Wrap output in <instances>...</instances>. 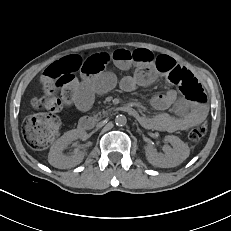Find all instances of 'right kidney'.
I'll list each match as a JSON object with an SVG mask.
<instances>
[{
	"instance_id": "1",
	"label": "right kidney",
	"mask_w": 231,
	"mask_h": 231,
	"mask_svg": "<svg viewBox=\"0 0 231 231\" xmlns=\"http://www.w3.org/2000/svg\"><path fill=\"white\" fill-rule=\"evenodd\" d=\"M87 134L85 131L74 129L64 133L50 148L48 154V162L60 169L71 168L82 162L84 159V153L81 151H75L71 155H64L63 150L76 139L85 140Z\"/></svg>"
}]
</instances>
